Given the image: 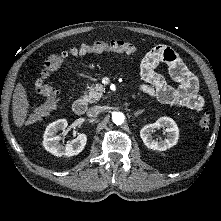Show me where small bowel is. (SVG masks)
Returning <instances> with one entry per match:
<instances>
[{
	"instance_id": "1",
	"label": "small bowel",
	"mask_w": 221,
	"mask_h": 221,
	"mask_svg": "<svg viewBox=\"0 0 221 221\" xmlns=\"http://www.w3.org/2000/svg\"><path fill=\"white\" fill-rule=\"evenodd\" d=\"M160 63L168 66L169 73L178 87L170 86L165 78L155 71ZM141 76L146 84L140 87V92L156 98L159 102L184 107L200 112L204 100L198 94L199 81L188 70L178 54L166 45L153 47L142 59Z\"/></svg>"
}]
</instances>
